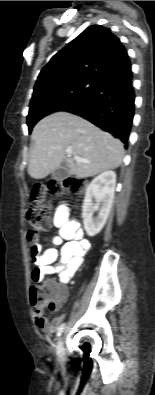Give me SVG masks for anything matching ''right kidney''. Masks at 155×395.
I'll return each mask as SVG.
<instances>
[{
    "instance_id": "1",
    "label": "right kidney",
    "mask_w": 155,
    "mask_h": 395,
    "mask_svg": "<svg viewBox=\"0 0 155 395\" xmlns=\"http://www.w3.org/2000/svg\"><path fill=\"white\" fill-rule=\"evenodd\" d=\"M115 184V172L105 171L94 178L86 189L82 217L84 228L91 237L97 235L106 223L114 200ZM97 211L98 215L94 217Z\"/></svg>"
}]
</instances>
